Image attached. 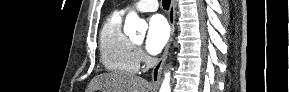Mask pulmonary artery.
Segmentation results:
<instances>
[{
  "label": "pulmonary artery",
  "mask_w": 289,
  "mask_h": 92,
  "mask_svg": "<svg viewBox=\"0 0 289 92\" xmlns=\"http://www.w3.org/2000/svg\"><path fill=\"white\" fill-rule=\"evenodd\" d=\"M133 7L140 12H154L158 9L157 0H141L136 2ZM131 7L124 8L121 12L128 11Z\"/></svg>",
  "instance_id": "obj_1"
}]
</instances>
